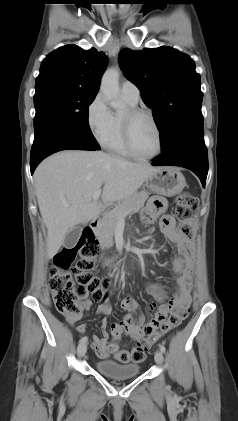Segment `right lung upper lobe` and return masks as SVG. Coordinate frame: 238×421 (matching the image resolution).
<instances>
[{
  "mask_svg": "<svg viewBox=\"0 0 238 421\" xmlns=\"http://www.w3.org/2000/svg\"><path fill=\"white\" fill-rule=\"evenodd\" d=\"M107 61L105 53L94 48L60 47L42 61L35 88L60 86L97 93Z\"/></svg>",
  "mask_w": 238,
  "mask_h": 421,
  "instance_id": "right-lung-upper-lobe-1",
  "label": "right lung upper lobe"
}]
</instances>
